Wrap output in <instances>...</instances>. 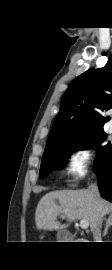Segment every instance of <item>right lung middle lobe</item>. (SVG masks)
<instances>
[{"mask_svg": "<svg viewBox=\"0 0 112 270\" xmlns=\"http://www.w3.org/2000/svg\"><path fill=\"white\" fill-rule=\"evenodd\" d=\"M105 138L106 134L103 129L100 128L69 142L47 145L42 156L40 175H46L50 171L63 168L66 159L71 152L98 146ZM111 148L112 144L108 143L107 145L100 146L96 149L97 157L94 163L95 170L101 166L106 154Z\"/></svg>", "mask_w": 112, "mask_h": 270, "instance_id": "dd1d6c3e", "label": "right lung middle lobe"}]
</instances>
